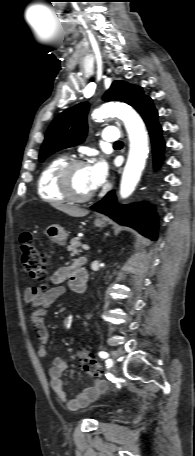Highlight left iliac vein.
<instances>
[{"label": "left iliac vein", "instance_id": "1", "mask_svg": "<svg viewBox=\"0 0 195 456\" xmlns=\"http://www.w3.org/2000/svg\"><path fill=\"white\" fill-rule=\"evenodd\" d=\"M110 354H111V357H112V359L110 360V362L113 363L114 360L119 356V352H118V351H115V350H112Z\"/></svg>", "mask_w": 195, "mask_h": 456}]
</instances>
